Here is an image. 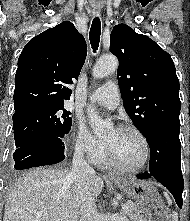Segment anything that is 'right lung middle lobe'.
Here are the masks:
<instances>
[{"label": "right lung middle lobe", "instance_id": "right-lung-middle-lobe-1", "mask_svg": "<svg viewBox=\"0 0 190 221\" xmlns=\"http://www.w3.org/2000/svg\"><path fill=\"white\" fill-rule=\"evenodd\" d=\"M70 112L62 104L36 105L21 112L14 113L15 147L47 136L64 137L71 129Z\"/></svg>", "mask_w": 190, "mask_h": 221}]
</instances>
